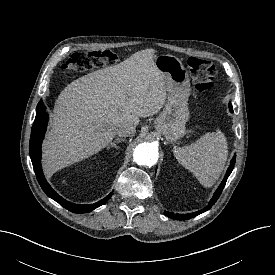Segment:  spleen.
Segmentation results:
<instances>
[{
  "label": "spleen",
  "mask_w": 275,
  "mask_h": 275,
  "mask_svg": "<svg viewBox=\"0 0 275 275\" xmlns=\"http://www.w3.org/2000/svg\"><path fill=\"white\" fill-rule=\"evenodd\" d=\"M174 155L203 186L211 187L225 167L228 144L221 131L208 132L190 145L174 147Z\"/></svg>",
  "instance_id": "obj_1"
}]
</instances>
